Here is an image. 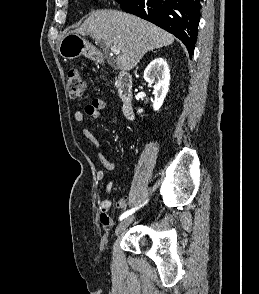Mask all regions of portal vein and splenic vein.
<instances>
[{
  "label": "portal vein and splenic vein",
  "instance_id": "1",
  "mask_svg": "<svg viewBox=\"0 0 259 294\" xmlns=\"http://www.w3.org/2000/svg\"><path fill=\"white\" fill-rule=\"evenodd\" d=\"M111 51L116 55H118L120 53V49L117 47H111Z\"/></svg>",
  "mask_w": 259,
  "mask_h": 294
}]
</instances>
